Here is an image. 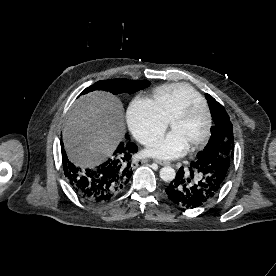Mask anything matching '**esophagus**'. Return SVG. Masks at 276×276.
Returning a JSON list of instances; mask_svg holds the SVG:
<instances>
[{
    "instance_id": "esophagus-1",
    "label": "esophagus",
    "mask_w": 276,
    "mask_h": 276,
    "mask_svg": "<svg viewBox=\"0 0 276 276\" xmlns=\"http://www.w3.org/2000/svg\"><path fill=\"white\" fill-rule=\"evenodd\" d=\"M154 162L160 164V165H169L170 162L165 161V160H159V159H155Z\"/></svg>"
}]
</instances>
